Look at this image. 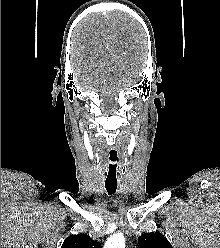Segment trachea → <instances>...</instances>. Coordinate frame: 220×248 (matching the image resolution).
Instances as JSON below:
<instances>
[{"label": "trachea", "instance_id": "trachea-1", "mask_svg": "<svg viewBox=\"0 0 220 248\" xmlns=\"http://www.w3.org/2000/svg\"><path fill=\"white\" fill-rule=\"evenodd\" d=\"M105 188L108 192L109 195H112L116 192L117 189V184H109V183H105Z\"/></svg>", "mask_w": 220, "mask_h": 248}]
</instances>
